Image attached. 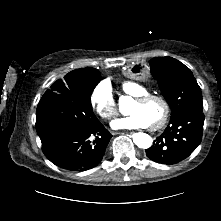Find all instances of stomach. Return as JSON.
Wrapping results in <instances>:
<instances>
[{
	"label": "stomach",
	"mask_w": 221,
	"mask_h": 221,
	"mask_svg": "<svg viewBox=\"0 0 221 221\" xmlns=\"http://www.w3.org/2000/svg\"><path fill=\"white\" fill-rule=\"evenodd\" d=\"M150 74V67L144 61L130 62L125 67V75L130 80H144Z\"/></svg>",
	"instance_id": "1"
}]
</instances>
